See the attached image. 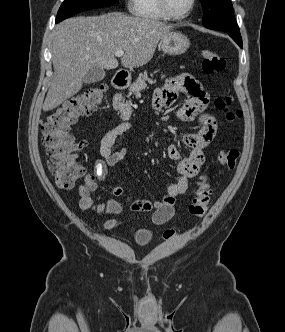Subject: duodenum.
Masks as SVG:
<instances>
[{
    "instance_id": "1",
    "label": "duodenum",
    "mask_w": 285,
    "mask_h": 332,
    "mask_svg": "<svg viewBox=\"0 0 285 332\" xmlns=\"http://www.w3.org/2000/svg\"><path fill=\"white\" fill-rule=\"evenodd\" d=\"M113 85L116 89H124L127 86V75L123 72H118L113 78Z\"/></svg>"
}]
</instances>
